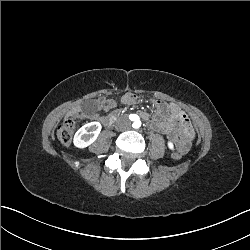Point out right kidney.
I'll list each match as a JSON object with an SVG mask.
<instances>
[{
    "mask_svg": "<svg viewBox=\"0 0 250 250\" xmlns=\"http://www.w3.org/2000/svg\"><path fill=\"white\" fill-rule=\"evenodd\" d=\"M101 130L99 122H90L82 126L74 136V144L78 147H85L97 138Z\"/></svg>",
    "mask_w": 250,
    "mask_h": 250,
    "instance_id": "obj_1",
    "label": "right kidney"
}]
</instances>
